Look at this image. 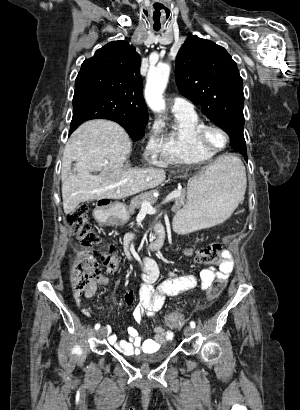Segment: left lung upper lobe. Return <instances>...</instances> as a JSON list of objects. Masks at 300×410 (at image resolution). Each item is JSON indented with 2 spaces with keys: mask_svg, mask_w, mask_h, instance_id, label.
<instances>
[{
  "mask_svg": "<svg viewBox=\"0 0 300 410\" xmlns=\"http://www.w3.org/2000/svg\"><path fill=\"white\" fill-rule=\"evenodd\" d=\"M175 77L179 91L228 133L231 147L246 157L243 82L227 51L190 35L177 54Z\"/></svg>",
  "mask_w": 300,
  "mask_h": 410,
  "instance_id": "obj_1",
  "label": "left lung upper lobe"
}]
</instances>
